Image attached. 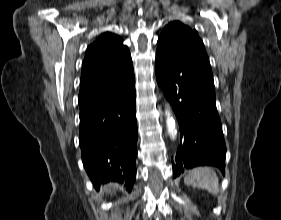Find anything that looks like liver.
<instances>
[{"instance_id": "1", "label": "liver", "mask_w": 281, "mask_h": 220, "mask_svg": "<svg viewBox=\"0 0 281 220\" xmlns=\"http://www.w3.org/2000/svg\"><path fill=\"white\" fill-rule=\"evenodd\" d=\"M111 188H112V184H109L108 187L106 188V190L110 191Z\"/></svg>"}]
</instances>
